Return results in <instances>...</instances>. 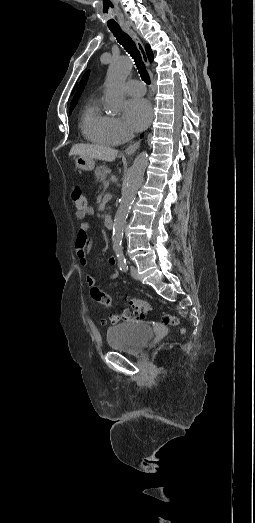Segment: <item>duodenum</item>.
I'll list each match as a JSON object with an SVG mask.
<instances>
[{"label":"duodenum","instance_id":"410a0bca","mask_svg":"<svg viewBox=\"0 0 255 523\" xmlns=\"http://www.w3.org/2000/svg\"><path fill=\"white\" fill-rule=\"evenodd\" d=\"M104 224L106 228L112 229L113 228V217L111 215H106L104 218Z\"/></svg>","mask_w":255,"mask_h":523}]
</instances>
